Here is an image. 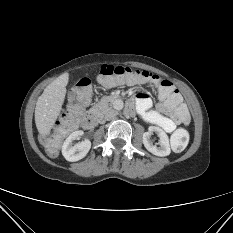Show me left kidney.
<instances>
[{"instance_id":"left-kidney-1","label":"left kidney","mask_w":233,"mask_h":233,"mask_svg":"<svg viewBox=\"0 0 233 233\" xmlns=\"http://www.w3.org/2000/svg\"><path fill=\"white\" fill-rule=\"evenodd\" d=\"M155 132L159 137V147L153 145L150 140L151 133ZM143 144L145 148L156 156H168L171 152L168 135L161 128L150 126L148 132L143 134Z\"/></svg>"}]
</instances>
